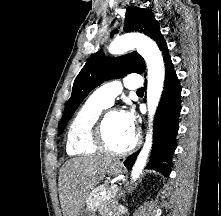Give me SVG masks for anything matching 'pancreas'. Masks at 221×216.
<instances>
[{
  "label": "pancreas",
  "instance_id": "cf45deb5",
  "mask_svg": "<svg viewBox=\"0 0 221 216\" xmlns=\"http://www.w3.org/2000/svg\"><path fill=\"white\" fill-rule=\"evenodd\" d=\"M107 189L106 185H102L96 188L89 196L87 200V206L91 210H99L100 212L107 211L109 208L110 203L113 201L117 194V188L115 189H108L106 195H100L101 191H105Z\"/></svg>",
  "mask_w": 221,
  "mask_h": 216
}]
</instances>
